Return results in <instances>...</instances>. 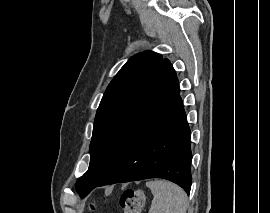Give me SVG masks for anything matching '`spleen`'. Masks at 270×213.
Returning <instances> with one entry per match:
<instances>
[{
    "label": "spleen",
    "instance_id": "1",
    "mask_svg": "<svg viewBox=\"0 0 270 213\" xmlns=\"http://www.w3.org/2000/svg\"><path fill=\"white\" fill-rule=\"evenodd\" d=\"M153 194L149 213H186L187 195L176 184L165 180H152L146 183Z\"/></svg>",
    "mask_w": 270,
    "mask_h": 213
}]
</instances>
